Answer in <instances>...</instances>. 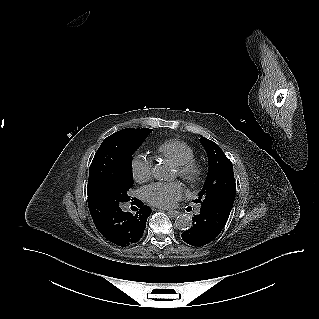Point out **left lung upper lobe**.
Segmentation results:
<instances>
[{"mask_svg": "<svg viewBox=\"0 0 319 319\" xmlns=\"http://www.w3.org/2000/svg\"><path fill=\"white\" fill-rule=\"evenodd\" d=\"M200 143L208 155L209 170L204 186L194 202L203 203L223 197H235L236 184L231 161L213 141L202 137Z\"/></svg>", "mask_w": 319, "mask_h": 319, "instance_id": "left-lung-upper-lobe-1", "label": "left lung upper lobe"}]
</instances>
